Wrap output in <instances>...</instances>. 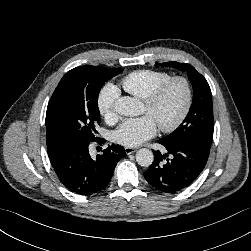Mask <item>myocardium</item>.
<instances>
[{
    "label": "myocardium",
    "instance_id": "1",
    "mask_svg": "<svg viewBox=\"0 0 251 251\" xmlns=\"http://www.w3.org/2000/svg\"><path fill=\"white\" fill-rule=\"evenodd\" d=\"M175 84H180L185 92V100L183 107L174 121L168 124H159L158 127L163 132H172L179 128L188 116L192 102H193V89L190 81L183 76L171 77L164 84L155 89L147 98L144 99V104L147 109L154 108L166 92Z\"/></svg>",
    "mask_w": 251,
    "mask_h": 251
}]
</instances>
